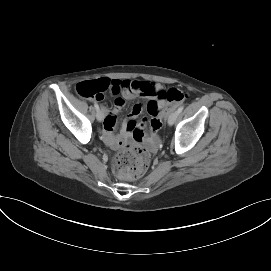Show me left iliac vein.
Masks as SVG:
<instances>
[{"mask_svg":"<svg viewBox=\"0 0 271 271\" xmlns=\"http://www.w3.org/2000/svg\"><path fill=\"white\" fill-rule=\"evenodd\" d=\"M179 113L177 111H173L168 117V124L173 125L178 117Z\"/></svg>","mask_w":271,"mask_h":271,"instance_id":"left-iliac-vein-1","label":"left iliac vein"}]
</instances>
